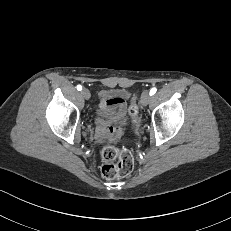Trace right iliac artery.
Listing matches in <instances>:
<instances>
[{
    "mask_svg": "<svg viewBox=\"0 0 231 231\" xmlns=\"http://www.w3.org/2000/svg\"><path fill=\"white\" fill-rule=\"evenodd\" d=\"M77 90H78V91L82 90V86H81V85H78V86H77Z\"/></svg>",
    "mask_w": 231,
    "mask_h": 231,
    "instance_id": "obj_1",
    "label": "right iliac artery"
}]
</instances>
